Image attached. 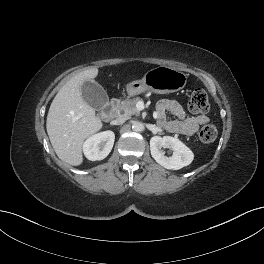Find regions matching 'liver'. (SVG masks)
Returning <instances> with one entry per match:
<instances>
[{"instance_id": "1", "label": "liver", "mask_w": 264, "mask_h": 264, "mask_svg": "<svg viewBox=\"0 0 264 264\" xmlns=\"http://www.w3.org/2000/svg\"><path fill=\"white\" fill-rule=\"evenodd\" d=\"M97 75L98 69L90 68L73 76L56 94L48 111L46 129L53 149L59 159L72 166L83 163L84 140L103 126L81 92L84 81Z\"/></svg>"}]
</instances>
